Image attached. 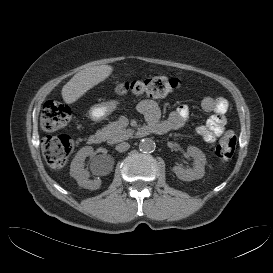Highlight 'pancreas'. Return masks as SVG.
<instances>
[{"instance_id": "obj_1", "label": "pancreas", "mask_w": 273, "mask_h": 273, "mask_svg": "<svg viewBox=\"0 0 273 273\" xmlns=\"http://www.w3.org/2000/svg\"><path fill=\"white\" fill-rule=\"evenodd\" d=\"M102 132L110 144L128 139L132 135V130L124 128L118 121L111 122L102 128Z\"/></svg>"}]
</instances>
